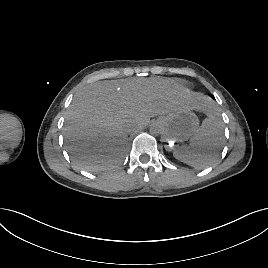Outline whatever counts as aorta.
I'll return each mask as SVG.
<instances>
[{
	"instance_id": "obj_1",
	"label": "aorta",
	"mask_w": 268,
	"mask_h": 268,
	"mask_svg": "<svg viewBox=\"0 0 268 268\" xmlns=\"http://www.w3.org/2000/svg\"><path fill=\"white\" fill-rule=\"evenodd\" d=\"M149 131L152 135H158L162 132V128L159 124H152Z\"/></svg>"
}]
</instances>
